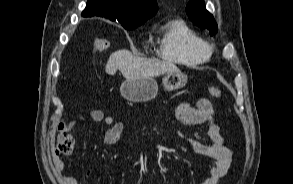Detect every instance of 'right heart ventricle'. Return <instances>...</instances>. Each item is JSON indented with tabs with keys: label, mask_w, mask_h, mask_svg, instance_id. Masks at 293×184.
<instances>
[{
	"label": "right heart ventricle",
	"mask_w": 293,
	"mask_h": 184,
	"mask_svg": "<svg viewBox=\"0 0 293 184\" xmlns=\"http://www.w3.org/2000/svg\"><path fill=\"white\" fill-rule=\"evenodd\" d=\"M157 54L185 66L200 65L209 58L206 42L180 19L170 20L161 27Z\"/></svg>",
	"instance_id": "1"
}]
</instances>
